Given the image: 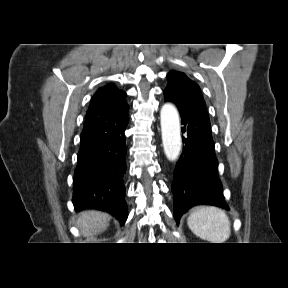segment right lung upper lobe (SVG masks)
Listing matches in <instances>:
<instances>
[{"instance_id": "1", "label": "right lung upper lobe", "mask_w": 288, "mask_h": 288, "mask_svg": "<svg viewBox=\"0 0 288 288\" xmlns=\"http://www.w3.org/2000/svg\"><path fill=\"white\" fill-rule=\"evenodd\" d=\"M126 93L114 84L98 89L91 99L85 125L81 133L80 149H85L113 138L128 124L129 106Z\"/></svg>"}]
</instances>
